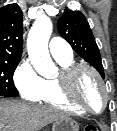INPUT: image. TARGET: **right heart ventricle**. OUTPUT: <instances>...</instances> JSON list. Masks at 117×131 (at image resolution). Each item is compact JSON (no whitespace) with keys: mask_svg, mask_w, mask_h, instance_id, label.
<instances>
[{"mask_svg":"<svg viewBox=\"0 0 117 131\" xmlns=\"http://www.w3.org/2000/svg\"><path fill=\"white\" fill-rule=\"evenodd\" d=\"M56 61L59 63L62 69L73 64V58L58 59ZM36 101L77 115H82L86 113L84 110L78 108L65 98L61 91L58 78L44 79L43 90Z\"/></svg>","mask_w":117,"mask_h":131,"instance_id":"right-heart-ventricle-1","label":"right heart ventricle"}]
</instances>
